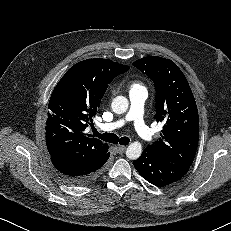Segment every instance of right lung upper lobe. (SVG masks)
I'll return each mask as SVG.
<instances>
[{"label": "right lung upper lobe", "mask_w": 231, "mask_h": 231, "mask_svg": "<svg viewBox=\"0 0 231 231\" xmlns=\"http://www.w3.org/2000/svg\"><path fill=\"white\" fill-rule=\"evenodd\" d=\"M129 67L108 59L76 63L55 87L48 105L46 144L51 158L88 163L108 153V144L85 133L116 76Z\"/></svg>", "instance_id": "right-lung-upper-lobe-1"}]
</instances>
